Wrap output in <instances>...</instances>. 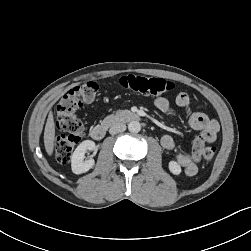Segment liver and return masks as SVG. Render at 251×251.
I'll use <instances>...</instances> for the list:
<instances>
[{
    "label": "liver",
    "mask_w": 251,
    "mask_h": 251,
    "mask_svg": "<svg viewBox=\"0 0 251 251\" xmlns=\"http://www.w3.org/2000/svg\"><path fill=\"white\" fill-rule=\"evenodd\" d=\"M55 141V123L53 113L50 111L44 130V146L47 154L52 156Z\"/></svg>",
    "instance_id": "obj_1"
}]
</instances>
